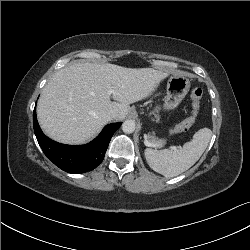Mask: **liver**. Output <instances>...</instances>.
Masks as SVG:
<instances>
[{"label": "liver", "instance_id": "6515ba94", "mask_svg": "<svg viewBox=\"0 0 250 250\" xmlns=\"http://www.w3.org/2000/svg\"><path fill=\"white\" fill-rule=\"evenodd\" d=\"M171 72L114 64L75 63L57 71L43 88L37 117L44 133L61 143L81 144L109 121L123 120L129 104L147 98ZM113 90L110 100L109 89Z\"/></svg>", "mask_w": 250, "mask_h": 250}]
</instances>
